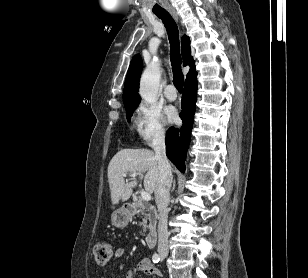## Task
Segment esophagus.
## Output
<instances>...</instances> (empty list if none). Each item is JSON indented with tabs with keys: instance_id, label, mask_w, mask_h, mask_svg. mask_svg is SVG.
Returning <instances> with one entry per match:
<instances>
[{
	"instance_id": "esophagus-1",
	"label": "esophagus",
	"mask_w": 308,
	"mask_h": 278,
	"mask_svg": "<svg viewBox=\"0 0 308 278\" xmlns=\"http://www.w3.org/2000/svg\"><path fill=\"white\" fill-rule=\"evenodd\" d=\"M169 12H170V14L172 15V17H173L175 20L178 21V16H177L176 12H175L174 10H170Z\"/></svg>"
}]
</instances>
